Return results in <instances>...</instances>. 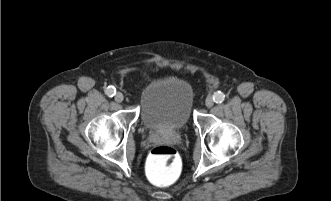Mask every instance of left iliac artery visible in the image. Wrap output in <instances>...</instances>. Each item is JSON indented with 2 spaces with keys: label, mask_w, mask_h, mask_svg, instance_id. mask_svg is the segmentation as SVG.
I'll return each instance as SVG.
<instances>
[{
  "label": "left iliac artery",
  "mask_w": 331,
  "mask_h": 201,
  "mask_svg": "<svg viewBox=\"0 0 331 201\" xmlns=\"http://www.w3.org/2000/svg\"><path fill=\"white\" fill-rule=\"evenodd\" d=\"M224 99H225V95L222 92H220V91L215 92L213 94V100L216 103H222L224 101Z\"/></svg>",
  "instance_id": "left-iliac-artery-1"
}]
</instances>
